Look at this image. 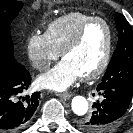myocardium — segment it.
<instances>
[{
  "label": "myocardium",
  "mask_w": 133,
  "mask_h": 133,
  "mask_svg": "<svg viewBox=\"0 0 133 133\" xmlns=\"http://www.w3.org/2000/svg\"><path fill=\"white\" fill-rule=\"evenodd\" d=\"M94 23H101L105 26L107 30V45L103 59L99 64V66L91 73L80 76V79L82 81H91L97 79L99 76H101L104 73V71L109 65L113 48V38H114L113 30L109 22L101 17H92L89 20L85 21L61 51V56L64 58L67 53H69L79 45L86 30Z\"/></svg>",
  "instance_id": "1"
}]
</instances>
